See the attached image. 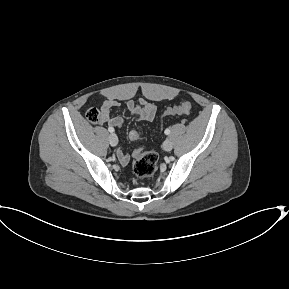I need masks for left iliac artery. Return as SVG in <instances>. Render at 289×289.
<instances>
[{
  "label": "left iliac artery",
  "mask_w": 289,
  "mask_h": 289,
  "mask_svg": "<svg viewBox=\"0 0 289 289\" xmlns=\"http://www.w3.org/2000/svg\"><path fill=\"white\" fill-rule=\"evenodd\" d=\"M164 133H165L166 135H169V134H170V129H166V130L164 131Z\"/></svg>",
  "instance_id": "44dca946"
}]
</instances>
